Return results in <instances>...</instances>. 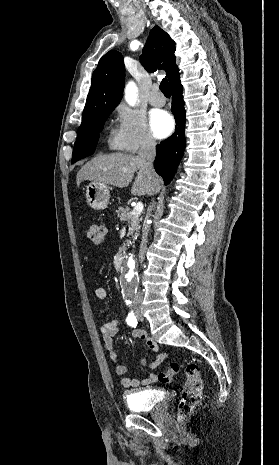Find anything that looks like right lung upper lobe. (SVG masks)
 <instances>
[{
  "mask_svg": "<svg viewBox=\"0 0 279 465\" xmlns=\"http://www.w3.org/2000/svg\"><path fill=\"white\" fill-rule=\"evenodd\" d=\"M175 43L160 27L155 26L149 34L141 63L146 70L163 69L169 79L170 87L179 79V69L175 65ZM125 67L123 57L118 51H109L99 61L95 69L91 88L82 115L83 126L93 120L99 113L114 109L122 98L124 89Z\"/></svg>",
  "mask_w": 279,
  "mask_h": 465,
  "instance_id": "obj_1",
  "label": "right lung upper lobe"
}]
</instances>
